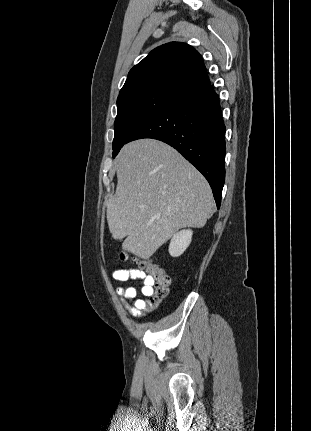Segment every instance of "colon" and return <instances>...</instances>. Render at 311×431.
I'll return each instance as SVG.
<instances>
[{"instance_id":"obj_1","label":"colon","mask_w":311,"mask_h":431,"mask_svg":"<svg viewBox=\"0 0 311 431\" xmlns=\"http://www.w3.org/2000/svg\"><path fill=\"white\" fill-rule=\"evenodd\" d=\"M122 260L128 259V254L125 252L120 253ZM141 266L148 272L151 279V295L150 301L153 307L158 306L168 295L170 279L166 272L151 260L141 262Z\"/></svg>"}]
</instances>
